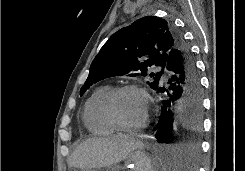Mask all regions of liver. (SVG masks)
Segmentation results:
<instances>
[{"label":"liver","mask_w":245,"mask_h":171,"mask_svg":"<svg viewBox=\"0 0 245 171\" xmlns=\"http://www.w3.org/2000/svg\"><path fill=\"white\" fill-rule=\"evenodd\" d=\"M144 144L131 135L116 134L89 138L80 144L68 159L69 167L92 169L110 167L123 160Z\"/></svg>","instance_id":"liver-1"}]
</instances>
